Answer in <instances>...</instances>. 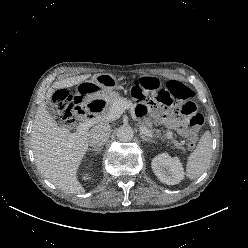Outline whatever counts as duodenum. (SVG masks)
Listing matches in <instances>:
<instances>
[{"mask_svg": "<svg viewBox=\"0 0 248 248\" xmlns=\"http://www.w3.org/2000/svg\"><path fill=\"white\" fill-rule=\"evenodd\" d=\"M90 116H91L90 112L84 109L83 117H90Z\"/></svg>", "mask_w": 248, "mask_h": 248, "instance_id": "obj_1", "label": "duodenum"}]
</instances>
